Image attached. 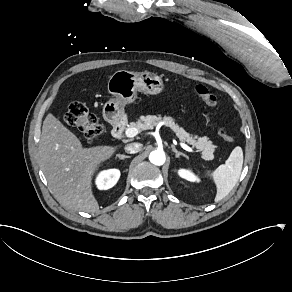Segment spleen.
<instances>
[{
    "label": "spleen",
    "mask_w": 292,
    "mask_h": 292,
    "mask_svg": "<svg viewBox=\"0 0 292 292\" xmlns=\"http://www.w3.org/2000/svg\"><path fill=\"white\" fill-rule=\"evenodd\" d=\"M243 160V150L240 146H236L225 164L213 170L203 171L204 176L216 186L215 202L222 200L234 188L242 171Z\"/></svg>",
    "instance_id": "3e777b00"
}]
</instances>
